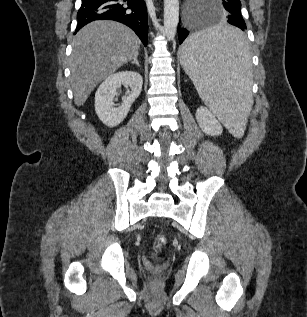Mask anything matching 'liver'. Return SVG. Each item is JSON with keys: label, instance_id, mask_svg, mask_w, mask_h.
Returning <instances> with one entry per match:
<instances>
[{"label": "liver", "instance_id": "liver-1", "mask_svg": "<svg viewBox=\"0 0 307 317\" xmlns=\"http://www.w3.org/2000/svg\"><path fill=\"white\" fill-rule=\"evenodd\" d=\"M140 40L127 26L107 20L84 26L74 37L70 56L74 102L83 105L92 90L138 56Z\"/></svg>", "mask_w": 307, "mask_h": 317}]
</instances>
